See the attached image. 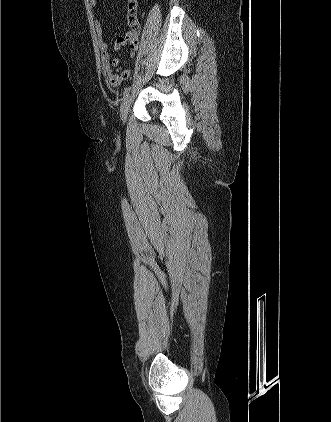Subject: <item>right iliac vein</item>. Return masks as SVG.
<instances>
[{
  "mask_svg": "<svg viewBox=\"0 0 331 422\" xmlns=\"http://www.w3.org/2000/svg\"><path fill=\"white\" fill-rule=\"evenodd\" d=\"M131 103H132V96L128 95L124 98V100L121 104L120 115H121V121H122L123 124L126 122L128 111H129Z\"/></svg>",
  "mask_w": 331,
  "mask_h": 422,
  "instance_id": "1",
  "label": "right iliac vein"
}]
</instances>
